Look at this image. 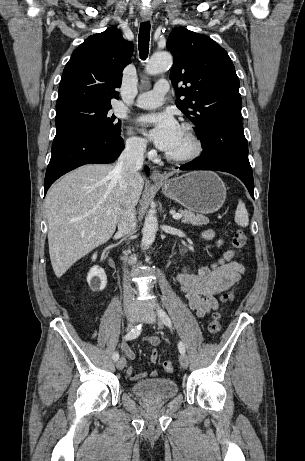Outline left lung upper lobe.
Listing matches in <instances>:
<instances>
[{"label":"left lung upper lobe","instance_id":"1","mask_svg":"<svg viewBox=\"0 0 305 461\" xmlns=\"http://www.w3.org/2000/svg\"><path fill=\"white\" fill-rule=\"evenodd\" d=\"M167 49L174 57L170 79L176 105L197 127L196 135L201 137L217 120L240 117L239 79L221 46L206 35L178 27L171 31ZM181 81L189 86L177 88Z\"/></svg>","mask_w":305,"mask_h":461}]
</instances>
